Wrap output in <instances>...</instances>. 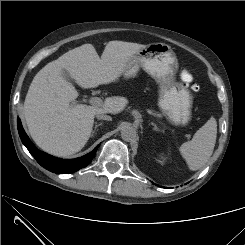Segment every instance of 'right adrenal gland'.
I'll return each instance as SVG.
<instances>
[{"label":"right adrenal gland","instance_id":"right-adrenal-gland-1","mask_svg":"<svg viewBox=\"0 0 245 245\" xmlns=\"http://www.w3.org/2000/svg\"><path fill=\"white\" fill-rule=\"evenodd\" d=\"M102 125V123H99V124H95V127H94V130H93V132H92V136H93V134L96 132V129L99 127V126H101Z\"/></svg>","mask_w":245,"mask_h":245}]
</instances>
